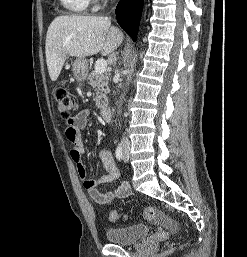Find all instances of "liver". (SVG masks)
Here are the masks:
<instances>
[{
	"mask_svg": "<svg viewBox=\"0 0 247 257\" xmlns=\"http://www.w3.org/2000/svg\"><path fill=\"white\" fill-rule=\"evenodd\" d=\"M123 33L102 16L61 15L48 27L45 53L49 76L56 81L69 56H107L123 42Z\"/></svg>",
	"mask_w": 247,
	"mask_h": 257,
	"instance_id": "liver-1",
	"label": "liver"
}]
</instances>
